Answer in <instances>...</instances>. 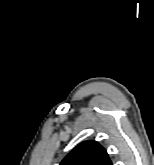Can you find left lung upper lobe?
Instances as JSON below:
<instances>
[{
  "instance_id": "obj_1",
  "label": "left lung upper lobe",
  "mask_w": 154,
  "mask_h": 165,
  "mask_svg": "<svg viewBox=\"0 0 154 165\" xmlns=\"http://www.w3.org/2000/svg\"><path fill=\"white\" fill-rule=\"evenodd\" d=\"M60 165H112L106 150L95 141H85L75 147Z\"/></svg>"
}]
</instances>
